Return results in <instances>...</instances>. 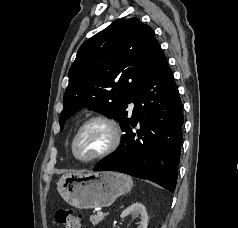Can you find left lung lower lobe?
<instances>
[{
    "label": "left lung lower lobe",
    "mask_w": 238,
    "mask_h": 228,
    "mask_svg": "<svg viewBox=\"0 0 238 228\" xmlns=\"http://www.w3.org/2000/svg\"><path fill=\"white\" fill-rule=\"evenodd\" d=\"M123 122L119 149L94 171H118L174 191L180 161L183 107L173 73L161 48L145 72ZM139 126L137 132L133 128Z\"/></svg>",
    "instance_id": "left-lung-lower-lobe-1"
}]
</instances>
